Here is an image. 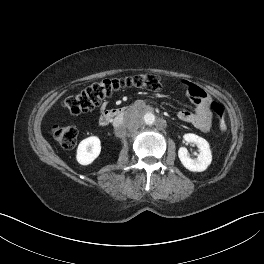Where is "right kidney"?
Here are the masks:
<instances>
[{
	"mask_svg": "<svg viewBox=\"0 0 264 264\" xmlns=\"http://www.w3.org/2000/svg\"><path fill=\"white\" fill-rule=\"evenodd\" d=\"M100 152V139L97 136H91L79 143L76 159L81 165H89L99 156Z\"/></svg>",
	"mask_w": 264,
	"mask_h": 264,
	"instance_id": "ca27d5eb",
	"label": "right kidney"
}]
</instances>
